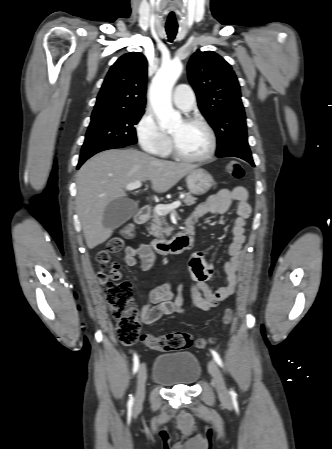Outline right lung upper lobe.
Masks as SVG:
<instances>
[{"label": "right lung upper lobe", "mask_w": 332, "mask_h": 449, "mask_svg": "<svg viewBox=\"0 0 332 449\" xmlns=\"http://www.w3.org/2000/svg\"><path fill=\"white\" fill-rule=\"evenodd\" d=\"M147 60L142 53L121 56L110 68L92 114L144 110Z\"/></svg>", "instance_id": "obj_1"}]
</instances>
